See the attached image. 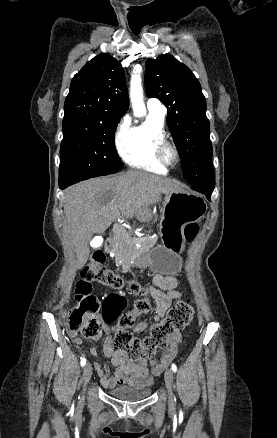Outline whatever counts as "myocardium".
<instances>
[{"label": "myocardium", "mask_w": 277, "mask_h": 438, "mask_svg": "<svg viewBox=\"0 0 277 438\" xmlns=\"http://www.w3.org/2000/svg\"><path fill=\"white\" fill-rule=\"evenodd\" d=\"M169 151H172L174 154V160L172 162L169 161L167 157ZM155 152L158 162L167 169L175 167L179 162L180 154L178 148L173 142L167 139L161 141L156 146Z\"/></svg>", "instance_id": "1"}]
</instances>
